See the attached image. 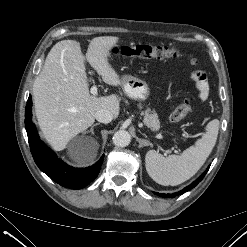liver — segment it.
Listing matches in <instances>:
<instances>
[{
	"mask_svg": "<svg viewBox=\"0 0 247 247\" xmlns=\"http://www.w3.org/2000/svg\"><path fill=\"white\" fill-rule=\"evenodd\" d=\"M116 36L93 38L83 56L80 43L62 40L48 53L43 69L33 84V99L38 124L46 141L60 151L77 134L95 121V113L106 109L117 118L120 101L116 94L96 97L89 93L84 60L111 86L121 85V78L108 62ZM97 155V144L90 152L74 158L78 165H89Z\"/></svg>",
	"mask_w": 247,
	"mask_h": 247,
	"instance_id": "1",
	"label": "liver"
}]
</instances>
